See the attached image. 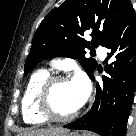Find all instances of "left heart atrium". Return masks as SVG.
I'll use <instances>...</instances> for the list:
<instances>
[{"instance_id": "obj_1", "label": "left heart atrium", "mask_w": 136, "mask_h": 136, "mask_svg": "<svg viewBox=\"0 0 136 136\" xmlns=\"http://www.w3.org/2000/svg\"><path fill=\"white\" fill-rule=\"evenodd\" d=\"M71 84H72V87H73V90H74V94H75L77 104L80 107L88 97L89 83H88L86 77L83 74L78 73L72 79Z\"/></svg>"}]
</instances>
